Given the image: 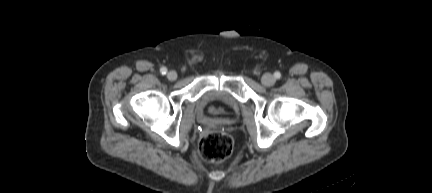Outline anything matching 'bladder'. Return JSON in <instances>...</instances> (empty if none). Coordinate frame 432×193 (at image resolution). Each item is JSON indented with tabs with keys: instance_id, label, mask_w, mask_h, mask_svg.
I'll return each instance as SVG.
<instances>
[{
	"instance_id": "1",
	"label": "bladder",
	"mask_w": 432,
	"mask_h": 193,
	"mask_svg": "<svg viewBox=\"0 0 432 193\" xmlns=\"http://www.w3.org/2000/svg\"><path fill=\"white\" fill-rule=\"evenodd\" d=\"M214 103L220 104L222 111L216 116L205 119L204 123L206 124L217 123L226 119V110H232L236 107L235 100L227 92L221 90L207 91L197 100L198 106L202 109Z\"/></svg>"
}]
</instances>
